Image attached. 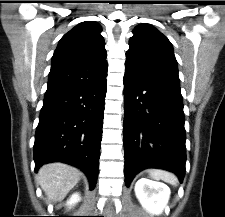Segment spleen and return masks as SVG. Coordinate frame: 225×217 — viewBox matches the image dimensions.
<instances>
[{"label": "spleen", "instance_id": "spleen-1", "mask_svg": "<svg viewBox=\"0 0 225 217\" xmlns=\"http://www.w3.org/2000/svg\"><path fill=\"white\" fill-rule=\"evenodd\" d=\"M151 178L155 180H163L172 185H177L178 179L176 176L168 171L161 169H151L148 171Z\"/></svg>", "mask_w": 225, "mask_h": 217}]
</instances>
